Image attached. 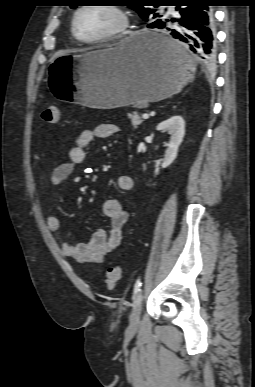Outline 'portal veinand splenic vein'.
Returning <instances> with one entry per match:
<instances>
[{"label":"portal vein and splenic vein","mask_w":255,"mask_h":387,"mask_svg":"<svg viewBox=\"0 0 255 387\" xmlns=\"http://www.w3.org/2000/svg\"><path fill=\"white\" fill-rule=\"evenodd\" d=\"M143 119H148L149 118V115L147 113L143 114Z\"/></svg>","instance_id":"1"}]
</instances>
